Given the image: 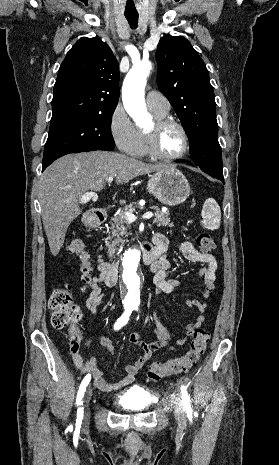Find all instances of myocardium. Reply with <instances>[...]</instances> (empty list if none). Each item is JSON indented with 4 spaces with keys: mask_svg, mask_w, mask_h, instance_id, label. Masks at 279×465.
<instances>
[{
    "mask_svg": "<svg viewBox=\"0 0 279 465\" xmlns=\"http://www.w3.org/2000/svg\"><path fill=\"white\" fill-rule=\"evenodd\" d=\"M170 125L176 126L180 130L183 139V146L178 153L168 155L160 151L158 147V139L161 131ZM146 138L149 154L160 160L174 161L181 159L189 150V135L185 126L180 121L171 117L155 119L153 125L146 131Z\"/></svg>",
    "mask_w": 279,
    "mask_h": 465,
    "instance_id": "f54148a6",
    "label": "myocardium"
}]
</instances>
